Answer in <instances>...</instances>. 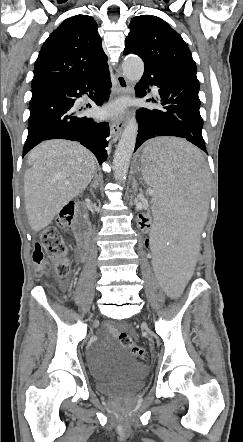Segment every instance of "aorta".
I'll return each instance as SVG.
<instances>
[{
    "label": "aorta",
    "instance_id": "1",
    "mask_svg": "<svg viewBox=\"0 0 243 442\" xmlns=\"http://www.w3.org/2000/svg\"><path fill=\"white\" fill-rule=\"evenodd\" d=\"M122 70L129 81L136 83L143 75L144 63L137 56H128L122 63ZM137 133L138 126L135 117H133L124 129L114 155L113 172L115 179L119 182L126 180L130 160L135 148Z\"/></svg>",
    "mask_w": 243,
    "mask_h": 442
}]
</instances>
